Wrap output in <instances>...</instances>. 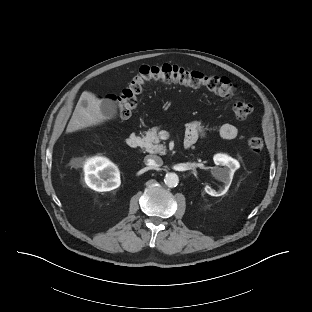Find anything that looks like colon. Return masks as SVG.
I'll use <instances>...</instances> for the list:
<instances>
[{
	"mask_svg": "<svg viewBox=\"0 0 312 312\" xmlns=\"http://www.w3.org/2000/svg\"><path fill=\"white\" fill-rule=\"evenodd\" d=\"M161 81L165 83H181L194 87H204L224 98H230L235 92V85L227 77L207 75L197 70H191L176 64L143 65L132 78L129 85L118 95L110 96L114 103L116 116L127 118L138 105V98L148 82ZM252 106L249 102L239 100L232 106L236 120H246L251 114ZM248 148L252 152H260L264 143L260 137L253 136L247 140Z\"/></svg>",
	"mask_w": 312,
	"mask_h": 312,
	"instance_id": "obj_1",
	"label": "colon"
}]
</instances>
